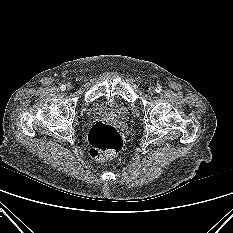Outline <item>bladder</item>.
Here are the masks:
<instances>
[{
  "mask_svg": "<svg viewBox=\"0 0 233 233\" xmlns=\"http://www.w3.org/2000/svg\"><path fill=\"white\" fill-rule=\"evenodd\" d=\"M90 113L113 118H124L128 113V108L125 104L118 101H104L95 104L90 109Z\"/></svg>",
  "mask_w": 233,
  "mask_h": 233,
  "instance_id": "31cf9c89",
  "label": "bladder"
}]
</instances>
